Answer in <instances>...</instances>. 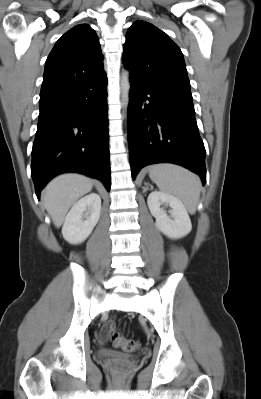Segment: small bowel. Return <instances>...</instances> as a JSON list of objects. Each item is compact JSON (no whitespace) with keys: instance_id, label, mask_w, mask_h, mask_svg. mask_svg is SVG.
Instances as JSON below:
<instances>
[{"instance_id":"small-bowel-1","label":"small bowel","mask_w":261,"mask_h":399,"mask_svg":"<svg viewBox=\"0 0 261 399\" xmlns=\"http://www.w3.org/2000/svg\"><path fill=\"white\" fill-rule=\"evenodd\" d=\"M113 325H114L113 320H109L102 325V327L100 328V336L102 339H106L108 337Z\"/></svg>"}]
</instances>
